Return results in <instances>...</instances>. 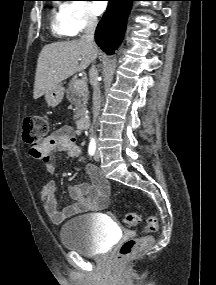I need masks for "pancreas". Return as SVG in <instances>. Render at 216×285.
I'll use <instances>...</instances> for the list:
<instances>
[{"mask_svg":"<svg viewBox=\"0 0 216 285\" xmlns=\"http://www.w3.org/2000/svg\"><path fill=\"white\" fill-rule=\"evenodd\" d=\"M75 82L76 81L73 80L69 83V87L66 92L68 100L73 102L76 107L74 119H79L86 113L89 93L86 80H84L83 85L80 87H75Z\"/></svg>","mask_w":216,"mask_h":285,"instance_id":"1","label":"pancreas"}]
</instances>
